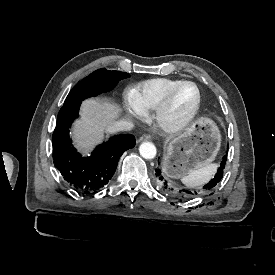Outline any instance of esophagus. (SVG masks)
Returning a JSON list of instances; mask_svg holds the SVG:
<instances>
[{
  "instance_id": "34e87169",
  "label": "esophagus",
  "mask_w": 275,
  "mask_h": 275,
  "mask_svg": "<svg viewBox=\"0 0 275 275\" xmlns=\"http://www.w3.org/2000/svg\"><path fill=\"white\" fill-rule=\"evenodd\" d=\"M151 139V136L150 135H142L140 138H139V141L142 142V141H149Z\"/></svg>"
}]
</instances>
